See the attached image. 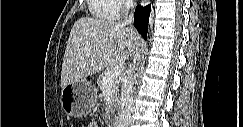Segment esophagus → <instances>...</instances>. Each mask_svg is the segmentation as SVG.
<instances>
[{
	"label": "esophagus",
	"mask_w": 243,
	"mask_h": 127,
	"mask_svg": "<svg viewBox=\"0 0 243 127\" xmlns=\"http://www.w3.org/2000/svg\"><path fill=\"white\" fill-rule=\"evenodd\" d=\"M143 3H144V4H146V3H147V1H146V0H144V1H143Z\"/></svg>",
	"instance_id": "34e87169"
}]
</instances>
